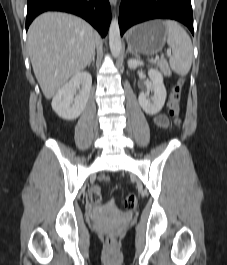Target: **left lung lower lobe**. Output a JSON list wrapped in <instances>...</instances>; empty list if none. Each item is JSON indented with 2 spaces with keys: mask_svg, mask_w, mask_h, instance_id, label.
Returning <instances> with one entry per match:
<instances>
[{
  "mask_svg": "<svg viewBox=\"0 0 227 265\" xmlns=\"http://www.w3.org/2000/svg\"><path fill=\"white\" fill-rule=\"evenodd\" d=\"M156 18L180 21L194 34L191 0H123L119 14L121 35L134 24Z\"/></svg>",
  "mask_w": 227,
  "mask_h": 265,
  "instance_id": "left-lung-lower-lobe-1",
  "label": "left lung lower lobe"
}]
</instances>
